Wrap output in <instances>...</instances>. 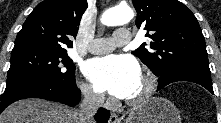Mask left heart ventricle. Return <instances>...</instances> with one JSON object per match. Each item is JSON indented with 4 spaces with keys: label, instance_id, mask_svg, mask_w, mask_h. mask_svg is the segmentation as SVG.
I'll list each match as a JSON object with an SVG mask.
<instances>
[{
    "label": "left heart ventricle",
    "instance_id": "b2bd125f",
    "mask_svg": "<svg viewBox=\"0 0 221 123\" xmlns=\"http://www.w3.org/2000/svg\"><path fill=\"white\" fill-rule=\"evenodd\" d=\"M144 88V83L141 79V77L138 79V81L135 83L134 87L132 88L130 94L126 98H133L138 96Z\"/></svg>",
    "mask_w": 221,
    "mask_h": 123
}]
</instances>
